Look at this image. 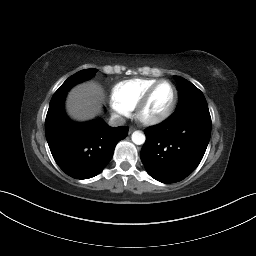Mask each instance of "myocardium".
I'll use <instances>...</instances> for the list:
<instances>
[{
  "mask_svg": "<svg viewBox=\"0 0 256 256\" xmlns=\"http://www.w3.org/2000/svg\"><path fill=\"white\" fill-rule=\"evenodd\" d=\"M164 83L169 84L173 89V97H172V101H171L170 105L168 106V108L166 110H164L160 114L146 115L145 110H146L154 92L160 85H162ZM177 100H178V91H177L176 86L170 80H166V79L159 80L155 84H153L150 88H148V90L144 93L142 98L136 104V106L134 108L135 109V117L140 123H142L144 125H155V124L161 123L164 120H166L173 113V111L176 107V104H177Z\"/></svg>",
  "mask_w": 256,
  "mask_h": 256,
  "instance_id": "obj_1",
  "label": "myocardium"
}]
</instances>
